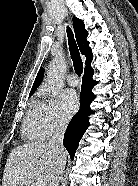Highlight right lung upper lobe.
<instances>
[{"label":"right lung upper lobe","instance_id":"cb5924a9","mask_svg":"<svg viewBox=\"0 0 138 186\" xmlns=\"http://www.w3.org/2000/svg\"><path fill=\"white\" fill-rule=\"evenodd\" d=\"M73 28H74L75 37H76V41L78 43L80 52L86 56V61H85L86 67L84 69V73L85 72L93 73L94 71L92 67L90 66L91 61L93 59V54L89 47V42L86 40L88 36V32L85 29L83 21L74 16L73 17ZM43 76H44V69H41L36 76L33 87L30 91V95L34 93L35 90L38 88V86L40 85L43 79Z\"/></svg>","mask_w":138,"mask_h":186}]
</instances>
